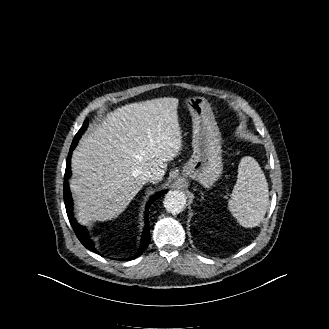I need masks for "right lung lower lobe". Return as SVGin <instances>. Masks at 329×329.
I'll use <instances>...</instances> for the list:
<instances>
[{
  "label": "right lung lower lobe",
  "instance_id": "1",
  "mask_svg": "<svg viewBox=\"0 0 329 329\" xmlns=\"http://www.w3.org/2000/svg\"><path fill=\"white\" fill-rule=\"evenodd\" d=\"M74 148H75V146L70 147V151H69L67 161H66V170H65V175H64V203H65V207H66V212H67L68 219L71 223V226H72L76 236L80 240V242L85 246V248L98 253L96 251V248H95V245H94L92 239L88 235V231L86 230V228L79 225L76 222L75 218L73 217V207H72L73 204H72L71 193L69 190L68 179L71 176L70 160H71V152ZM164 193H166L165 190L157 193L156 195L152 196L151 199L149 200V202L147 203L146 211H145V228H144L142 239H141V246H140V249L138 250V252L135 254V256L129 258L128 260L139 257L143 253V251L148 247V244L150 242V231H149V226H148L149 225L148 209H149L150 205L152 204V202L155 199H157L158 197H160L161 195H163Z\"/></svg>",
  "mask_w": 329,
  "mask_h": 329
}]
</instances>
